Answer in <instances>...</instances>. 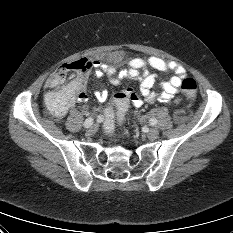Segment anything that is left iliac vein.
<instances>
[{
    "label": "left iliac vein",
    "instance_id": "obj_1",
    "mask_svg": "<svg viewBox=\"0 0 233 233\" xmlns=\"http://www.w3.org/2000/svg\"><path fill=\"white\" fill-rule=\"evenodd\" d=\"M159 136V131L156 129V128H150L148 131H147V137L150 139V140H155L157 139Z\"/></svg>",
    "mask_w": 233,
    "mask_h": 233
}]
</instances>
